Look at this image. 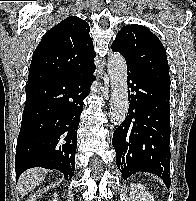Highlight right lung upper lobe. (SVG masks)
<instances>
[{
    "instance_id": "cb5924a9",
    "label": "right lung upper lobe",
    "mask_w": 196,
    "mask_h": 201,
    "mask_svg": "<svg viewBox=\"0 0 196 201\" xmlns=\"http://www.w3.org/2000/svg\"><path fill=\"white\" fill-rule=\"evenodd\" d=\"M89 24L68 17L51 28L34 51L28 84L76 73L93 65L96 56Z\"/></svg>"
}]
</instances>
